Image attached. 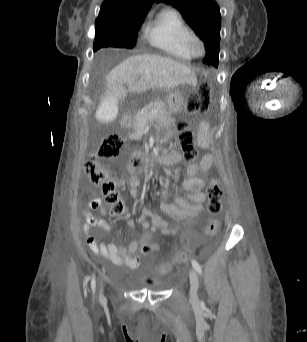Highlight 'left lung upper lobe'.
Masks as SVG:
<instances>
[{"instance_id":"left-lung-upper-lobe-1","label":"left lung upper lobe","mask_w":307,"mask_h":342,"mask_svg":"<svg viewBox=\"0 0 307 342\" xmlns=\"http://www.w3.org/2000/svg\"><path fill=\"white\" fill-rule=\"evenodd\" d=\"M177 8L196 34L204 41L205 64L218 66L221 15L213 0H157Z\"/></svg>"}]
</instances>
